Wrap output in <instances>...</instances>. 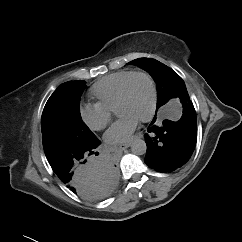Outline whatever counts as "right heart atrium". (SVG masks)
Here are the masks:
<instances>
[{"instance_id":"1","label":"right heart atrium","mask_w":242,"mask_h":242,"mask_svg":"<svg viewBox=\"0 0 242 242\" xmlns=\"http://www.w3.org/2000/svg\"><path fill=\"white\" fill-rule=\"evenodd\" d=\"M111 111L99 103H84L79 107V116L91 130L104 129L111 119Z\"/></svg>"}]
</instances>
